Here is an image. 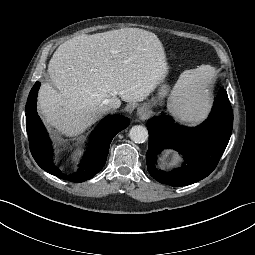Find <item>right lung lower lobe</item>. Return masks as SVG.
I'll use <instances>...</instances> for the list:
<instances>
[{
	"mask_svg": "<svg viewBox=\"0 0 255 255\" xmlns=\"http://www.w3.org/2000/svg\"><path fill=\"white\" fill-rule=\"evenodd\" d=\"M40 83L31 89L26 103V130L31 153L37 164L46 172L70 182L91 179L105 165L109 147L114 136L125 129L130 121L120 115L106 116L92 134L90 148L73 174L62 173L52 162V146L49 136L37 113V95Z\"/></svg>",
	"mask_w": 255,
	"mask_h": 255,
	"instance_id": "98d812e1",
	"label": "right lung lower lobe"
}]
</instances>
